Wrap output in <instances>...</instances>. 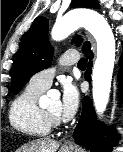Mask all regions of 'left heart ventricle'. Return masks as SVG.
<instances>
[{"mask_svg":"<svg viewBox=\"0 0 123 152\" xmlns=\"http://www.w3.org/2000/svg\"><path fill=\"white\" fill-rule=\"evenodd\" d=\"M46 110L50 113L59 116L60 112V101L58 99H53L49 102L48 106L46 107Z\"/></svg>","mask_w":123,"mask_h":152,"instance_id":"left-heart-ventricle-1","label":"left heart ventricle"}]
</instances>
